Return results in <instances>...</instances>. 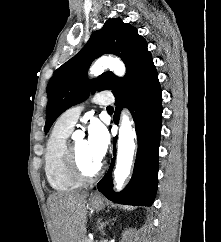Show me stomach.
Listing matches in <instances>:
<instances>
[{"label":"stomach","mask_w":221,"mask_h":242,"mask_svg":"<svg viewBox=\"0 0 221 242\" xmlns=\"http://www.w3.org/2000/svg\"><path fill=\"white\" fill-rule=\"evenodd\" d=\"M89 206L94 210H101L105 207L104 200L101 197H91L89 199Z\"/></svg>","instance_id":"stomach-1"}]
</instances>
